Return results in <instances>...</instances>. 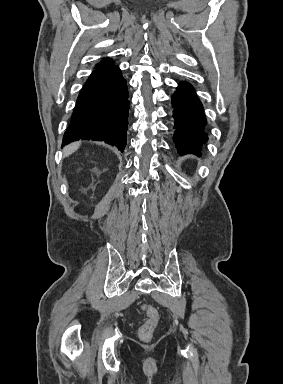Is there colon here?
<instances>
[{
    "mask_svg": "<svg viewBox=\"0 0 283 384\" xmlns=\"http://www.w3.org/2000/svg\"><path fill=\"white\" fill-rule=\"evenodd\" d=\"M142 309L147 315V320L140 327L138 334L140 339L147 341L151 339L153 332L157 327L159 321V313L155 307L148 304H144Z\"/></svg>",
    "mask_w": 283,
    "mask_h": 384,
    "instance_id": "obj_1",
    "label": "colon"
}]
</instances>
